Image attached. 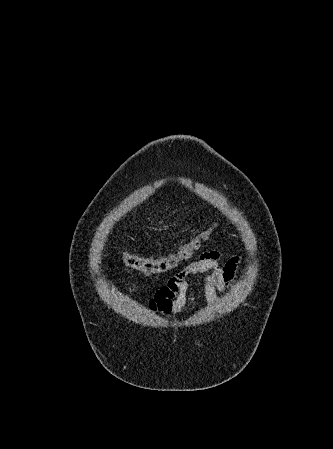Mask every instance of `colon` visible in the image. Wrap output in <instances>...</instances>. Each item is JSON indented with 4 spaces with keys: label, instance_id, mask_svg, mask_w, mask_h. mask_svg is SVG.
I'll return each instance as SVG.
<instances>
[{
    "label": "colon",
    "instance_id": "obj_1",
    "mask_svg": "<svg viewBox=\"0 0 333 449\" xmlns=\"http://www.w3.org/2000/svg\"><path fill=\"white\" fill-rule=\"evenodd\" d=\"M213 231L214 228L201 231L175 253L157 257H144L136 253L125 252L123 261L128 268L145 275L166 273L175 268L181 261L190 259L209 240Z\"/></svg>",
    "mask_w": 333,
    "mask_h": 449
}]
</instances>
